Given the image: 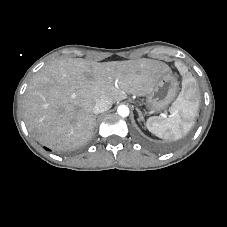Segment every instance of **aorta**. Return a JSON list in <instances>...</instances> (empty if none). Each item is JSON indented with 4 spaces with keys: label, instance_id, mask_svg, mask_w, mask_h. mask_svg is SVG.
Listing matches in <instances>:
<instances>
[{
    "label": "aorta",
    "instance_id": "obj_1",
    "mask_svg": "<svg viewBox=\"0 0 227 227\" xmlns=\"http://www.w3.org/2000/svg\"><path fill=\"white\" fill-rule=\"evenodd\" d=\"M118 115L127 117L129 115V108L126 105H120L117 109Z\"/></svg>",
    "mask_w": 227,
    "mask_h": 227
}]
</instances>
